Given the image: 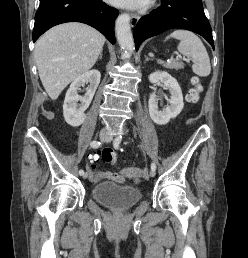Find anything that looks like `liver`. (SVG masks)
I'll use <instances>...</instances> for the list:
<instances>
[{
    "instance_id": "liver-1",
    "label": "liver",
    "mask_w": 248,
    "mask_h": 258,
    "mask_svg": "<svg viewBox=\"0 0 248 258\" xmlns=\"http://www.w3.org/2000/svg\"><path fill=\"white\" fill-rule=\"evenodd\" d=\"M105 37L82 23L57 25L35 44V62L43 87L52 100L90 70L102 52Z\"/></svg>"
}]
</instances>
